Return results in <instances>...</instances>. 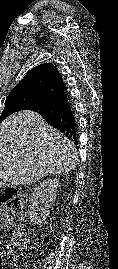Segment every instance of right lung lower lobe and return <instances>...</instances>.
Masks as SVG:
<instances>
[{"label":"right lung lower lobe","mask_w":118,"mask_h":269,"mask_svg":"<svg viewBox=\"0 0 118 269\" xmlns=\"http://www.w3.org/2000/svg\"><path fill=\"white\" fill-rule=\"evenodd\" d=\"M24 110H32L39 113L48 124L59 129L77 143L78 125L66 89L32 104Z\"/></svg>","instance_id":"98d812e1"}]
</instances>
